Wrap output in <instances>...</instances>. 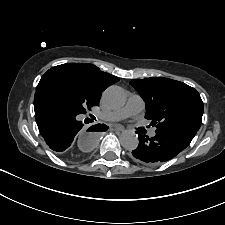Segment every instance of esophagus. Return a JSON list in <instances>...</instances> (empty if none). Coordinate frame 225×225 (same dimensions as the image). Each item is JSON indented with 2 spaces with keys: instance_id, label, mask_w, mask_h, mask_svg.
<instances>
[{
  "instance_id": "34e87169",
  "label": "esophagus",
  "mask_w": 225,
  "mask_h": 225,
  "mask_svg": "<svg viewBox=\"0 0 225 225\" xmlns=\"http://www.w3.org/2000/svg\"><path fill=\"white\" fill-rule=\"evenodd\" d=\"M114 129H115L116 131H118V132H122V131L124 130V128H123L122 126H120V125H115V126H114Z\"/></svg>"
}]
</instances>
